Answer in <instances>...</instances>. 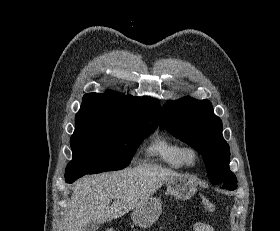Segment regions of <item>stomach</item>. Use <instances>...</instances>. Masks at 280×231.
Instances as JSON below:
<instances>
[{"label":"stomach","instance_id":"stomach-1","mask_svg":"<svg viewBox=\"0 0 280 231\" xmlns=\"http://www.w3.org/2000/svg\"><path fill=\"white\" fill-rule=\"evenodd\" d=\"M198 179L195 175L181 173L174 175L166 181V189L169 195L178 197V199H189L197 191ZM162 205L158 197H149L147 201L141 203L139 207H135L132 213L133 223L139 227H149L159 219Z\"/></svg>","mask_w":280,"mask_h":231}]
</instances>
